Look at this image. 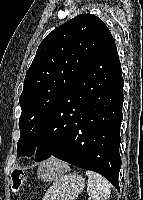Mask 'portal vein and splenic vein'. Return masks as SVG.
Listing matches in <instances>:
<instances>
[{"instance_id": "portal-vein-and-splenic-vein-1", "label": "portal vein and splenic vein", "mask_w": 143, "mask_h": 200, "mask_svg": "<svg viewBox=\"0 0 143 200\" xmlns=\"http://www.w3.org/2000/svg\"><path fill=\"white\" fill-rule=\"evenodd\" d=\"M90 199H91L90 197L87 198V200H90Z\"/></svg>"}]
</instances>
